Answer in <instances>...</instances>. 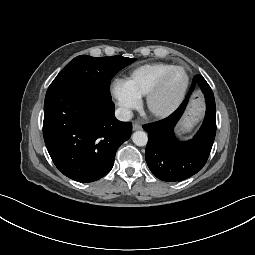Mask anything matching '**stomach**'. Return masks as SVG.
<instances>
[{"label":"stomach","mask_w":255,"mask_h":255,"mask_svg":"<svg viewBox=\"0 0 255 255\" xmlns=\"http://www.w3.org/2000/svg\"><path fill=\"white\" fill-rule=\"evenodd\" d=\"M203 111L202 99L198 94H195L190 102L187 112L178 126V133L185 134L189 132L198 121Z\"/></svg>","instance_id":"1"}]
</instances>
